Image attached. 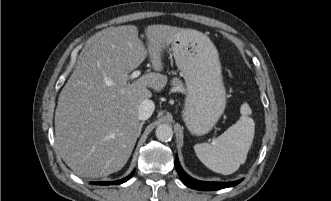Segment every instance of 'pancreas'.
Here are the masks:
<instances>
[{"label": "pancreas", "instance_id": "cf45deb5", "mask_svg": "<svg viewBox=\"0 0 331 201\" xmlns=\"http://www.w3.org/2000/svg\"><path fill=\"white\" fill-rule=\"evenodd\" d=\"M172 84L174 86V90L175 91H179V92H184L185 91V89L183 87V84H182V82L179 79L174 78L172 80Z\"/></svg>", "mask_w": 331, "mask_h": 201}]
</instances>
